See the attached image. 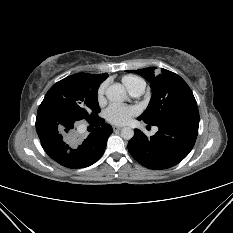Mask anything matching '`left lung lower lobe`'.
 <instances>
[{
  "mask_svg": "<svg viewBox=\"0 0 233 233\" xmlns=\"http://www.w3.org/2000/svg\"><path fill=\"white\" fill-rule=\"evenodd\" d=\"M156 126L159 131L150 138L135 129L128 150L136 161L149 169H167L181 162L192 150L198 134V108H189Z\"/></svg>",
  "mask_w": 233,
  "mask_h": 233,
  "instance_id": "1",
  "label": "left lung lower lobe"
}]
</instances>
